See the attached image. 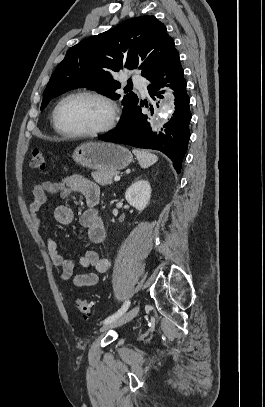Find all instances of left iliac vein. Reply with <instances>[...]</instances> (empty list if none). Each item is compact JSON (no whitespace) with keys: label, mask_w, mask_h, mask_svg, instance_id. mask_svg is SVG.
<instances>
[{"label":"left iliac vein","mask_w":265,"mask_h":407,"mask_svg":"<svg viewBox=\"0 0 265 407\" xmlns=\"http://www.w3.org/2000/svg\"><path fill=\"white\" fill-rule=\"evenodd\" d=\"M140 311V306L137 305L133 308H131L128 312H126L125 314L121 315L120 317H118L117 319H115L114 321L104 324L101 328L100 331L101 332H106L112 328L121 326L123 324H126L127 322H129L130 320H132L134 317L137 316V314Z\"/></svg>","instance_id":"1"}]
</instances>
